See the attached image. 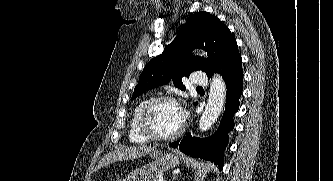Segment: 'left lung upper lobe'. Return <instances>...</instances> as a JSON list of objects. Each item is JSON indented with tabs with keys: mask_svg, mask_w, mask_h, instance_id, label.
I'll list each match as a JSON object with an SVG mask.
<instances>
[{
	"mask_svg": "<svg viewBox=\"0 0 333 181\" xmlns=\"http://www.w3.org/2000/svg\"><path fill=\"white\" fill-rule=\"evenodd\" d=\"M236 46L230 30L216 16L204 11L194 13L163 53L144 67L131 99L167 84L171 79L175 87L185 90L182 77H188L196 70L209 75ZM195 48L207 51L209 58L192 55Z\"/></svg>",
	"mask_w": 333,
	"mask_h": 181,
	"instance_id": "1",
	"label": "left lung upper lobe"
}]
</instances>
